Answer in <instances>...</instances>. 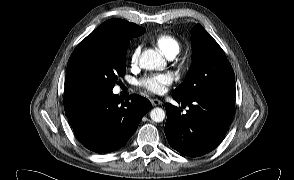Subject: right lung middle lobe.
I'll return each mask as SVG.
<instances>
[{
	"label": "right lung middle lobe",
	"mask_w": 294,
	"mask_h": 180,
	"mask_svg": "<svg viewBox=\"0 0 294 180\" xmlns=\"http://www.w3.org/2000/svg\"><path fill=\"white\" fill-rule=\"evenodd\" d=\"M126 37L82 40L74 49L66 69L64 96L86 91H112L125 75Z\"/></svg>",
	"instance_id": "dd1d6c3e"
}]
</instances>
